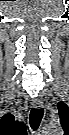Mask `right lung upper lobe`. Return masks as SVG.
<instances>
[{
    "label": "right lung upper lobe",
    "mask_w": 69,
    "mask_h": 135,
    "mask_svg": "<svg viewBox=\"0 0 69 135\" xmlns=\"http://www.w3.org/2000/svg\"><path fill=\"white\" fill-rule=\"evenodd\" d=\"M0 125L2 128L10 129L17 133V135H23L26 132V127L24 123L14 120V116L10 113L4 115L0 120ZM8 132V130H7Z\"/></svg>",
    "instance_id": "1"
}]
</instances>
